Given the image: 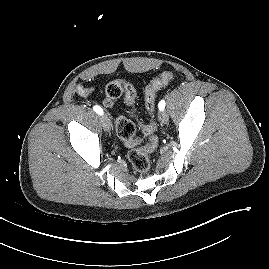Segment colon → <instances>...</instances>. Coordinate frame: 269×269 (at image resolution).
Segmentation results:
<instances>
[{
    "mask_svg": "<svg viewBox=\"0 0 269 269\" xmlns=\"http://www.w3.org/2000/svg\"><path fill=\"white\" fill-rule=\"evenodd\" d=\"M174 78V74L170 71L161 73L157 78L153 79L145 88L144 99L145 107L152 116L149 124H139L141 132L148 136L149 139L145 145L140 146V141L135 138L136 126L132 119L135 118V100L137 91L135 87L125 81H112L105 88L104 104L111 106L116 99L123 96L125 104L128 108V114L132 119L118 117L116 120V132L118 137L131 150L128 153V159L133 168L140 173H148L152 167L150 154L157 145V140L153 136L157 131V123L154 120L155 102L157 92L167 85Z\"/></svg>",
    "mask_w": 269,
    "mask_h": 269,
    "instance_id": "colon-1",
    "label": "colon"
}]
</instances>
